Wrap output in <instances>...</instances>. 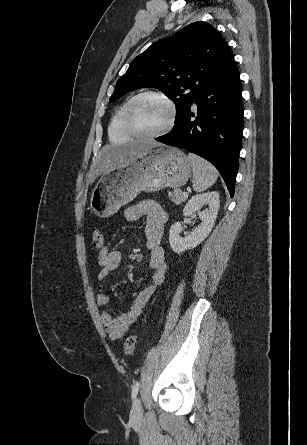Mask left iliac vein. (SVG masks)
<instances>
[{"instance_id":"left-iliac-vein-1","label":"left iliac vein","mask_w":307,"mask_h":445,"mask_svg":"<svg viewBox=\"0 0 307 445\" xmlns=\"http://www.w3.org/2000/svg\"><path fill=\"white\" fill-rule=\"evenodd\" d=\"M143 409L141 405V401L136 398L133 402L130 417L133 421H138L142 418Z\"/></svg>"}]
</instances>
